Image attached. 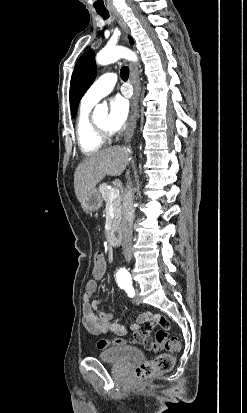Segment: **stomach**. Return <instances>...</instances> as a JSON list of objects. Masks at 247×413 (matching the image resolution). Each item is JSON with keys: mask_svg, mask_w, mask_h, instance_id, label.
I'll use <instances>...</instances> for the list:
<instances>
[{"mask_svg": "<svg viewBox=\"0 0 247 413\" xmlns=\"http://www.w3.org/2000/svg\"><path fill=\"white\" fill-rule=\"evenodd\" d=\"M80 202L84 213H93V211H98V209L102 207L103 198L99 190L94 188V190H90L89 194H86Z\"/></svg>", "mask_w": 247, "mask_h": 413, "instance_id": "0dacf381", "label": "stomach"}]
</instances>
